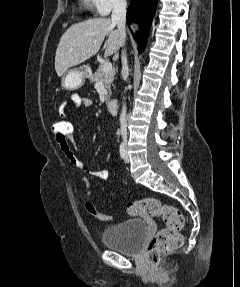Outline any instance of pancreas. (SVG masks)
Here are the masks:
<instances>
[{"label":"pancreas","mask_w":240,"mask_h":287,"mask_svg":"<svg viewBox=\"0 0 240 287\" xmlns=\"http://www.w3.org/2000/svg\"><path fill=\"white\" fill-rule=\"evenodd\" d=\"M114 76H115V70H112L110 72H105L103 70V65H99L98 69L93 73L92 75L89 76L90 82H95L99 79L103 81L104 87L108 89L109 94L105 97V101L108 102L110 99L111 95V85L114 81Z\"/></svg>","instance_id":"pancreas-1"}]
</instances>
